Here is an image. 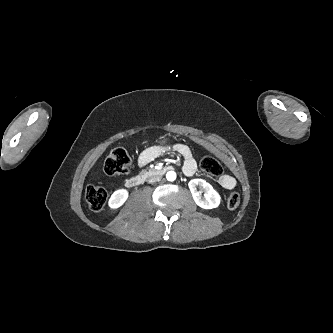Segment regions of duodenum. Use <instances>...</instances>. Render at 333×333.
<instances>
[{
  "instance_id": "obj_1",
  "label": "duodenum",
  "mask_w": 333,
  "mask_h": 333,
  "mask_svg": "<svg viewBox=\"0 0 333 333\" xmlns=\"http://www.w3.org/2000/svg\"><path fill=\"white\" fill-rule=\"evenodd\" d=\"M167 171L168 168H157L152 169L146 173L130 176L126 179V186L129 188L140 186L146 181V179L163 176Z\"/></svg>"
}]
</instances>
